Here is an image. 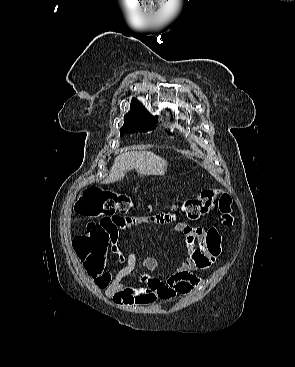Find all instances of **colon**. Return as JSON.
<instances>
[{
    "label": "colon",
    "instance_id": "colon-1",
    "mask_svg": "<svg viewBox=\"0 0 295 367\" xmlns=\"http://www.w3.org/2000/svg\"><path fill=\"white\" fill-rule=\"evenodd\" d=\"M217 198V190L208 188L197 197L186 199L182 205L169 209L175 217L195 221L213 208ZM230 202V198L225 194L218 199V205L226 225L232 223ZM133 206L134 202L123 194L100 187H91L85 190L77 200L75 212L82 216L100 217V220H104L121 217L118 214L126 213ZM209 243L212 248H215L219 243V235L214 230L209 231ZM74 249L91 276H96L104 271L107 237L100 223H89L87 233L75 238Z\"/></svg>",
    "mask_w": 295,
    "mask_h": 367
}]
</instances>
